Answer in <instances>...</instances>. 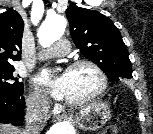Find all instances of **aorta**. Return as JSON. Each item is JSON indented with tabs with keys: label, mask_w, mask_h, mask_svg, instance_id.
<instances>
[{
	"label": "aorta",
	"mask_w": 153,
	"mask_h": 134,
	"mask_svg": "<svg viewBox=\"0 0 153 134\" xmlns=\"http://www.w3.org/2000/svg\"><path fill=\"white\" fill-rule=\"evenodd\" d=\"M65 28L66 20L63 16L54 14L47 17L38 31L39 43L49 47L64 34ZM50 134H75V130L69 123L60 122L50 129Z\"/></svg>",
	"instance_id": "obj_1"
}]
</instances>
